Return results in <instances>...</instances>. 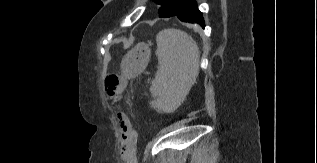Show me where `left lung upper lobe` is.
Wrapping results in <instances>:
<instances>
[{"instance_id":"1","label":"left lung upper lobe","mask_w":317,"mask_h":163,"mask_svg":"<svg viewBox=\"0 0 317 163\" xmlns=\"http://www.w3.org/2000/svg\"><path fill=\"white\" fill-rule=\"evenodd\" d=\"M184 1L185 0H155L156 3L161 5L159 9L160 17H169L173 15Z\"/></svg>"}]
</instances>
